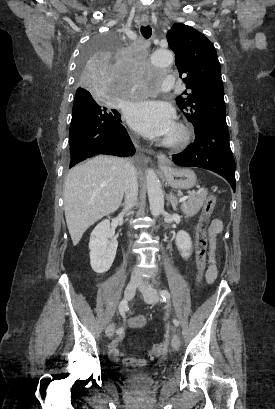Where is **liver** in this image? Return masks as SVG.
I'll use <instances>...</instances> for the list:
<instances>
[{
	"label": "liver",
	"instance_id": "obj_1",
	"mask_svg": "<svg viewBox=\"0 0 275 409\" xmlns=\"http://www.w3.org/2000/svg\"><path fill=\"white\" fill-rule=\"evenodd\" d=\"M125 170V158L106 154L69 170L64 184V211L74 247L91 225L119 209Z\"/></svg>",
	"mask_w": 275,
	"mask_h": 409
}]
</instances>
